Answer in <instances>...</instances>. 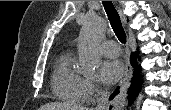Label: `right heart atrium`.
<instances>
[{
  "label": "right heart atrium",
  "mask_w": 171,
  "mask_h": 110,
  "mask_svg": "<svg viewBox=\"0 0 171 110\" xmlns=\"http://www.w3.org/2000/svg\"><path fill=\"white\" fill-rule=\"evenodd\" d=\"M85 88L88 98H91L101 92V89L91 79H85Z\"/></svg>",
  "instance_id": "right-heart-atrium-1"
}]
</instances>
